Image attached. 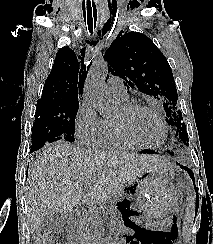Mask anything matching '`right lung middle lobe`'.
Instances as JSON below:
<instances>
[{
    "label": "right lung middle lobe",
    "mask_w": 213,
    "mask_h": 244,
    "mask_svg": "<svg viewBox=\"0 0 213 244\" xmlns=\"http://www.w3.org/2000/svg\"><path fill=\"white\" fill-rule=\"evenodd\" d=\"M78 107V101H38L31 150H37L58 137L74 142L75 116Z\"/></svg>",
    "instance_id": "1"
}]
</instances>
